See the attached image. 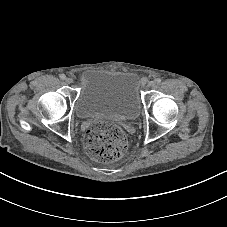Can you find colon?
<instances>
[{"instance_id":"1","label":"colon","mask_w":227,"mask_h":227,"mask_svg":"<svg viewBox=\"0 0 227 227\" xmlns=\"http://www.w3.org/2000/svg\"><path fill=\"white\" fill-rule=\"evenodd\" d=\"M88 154L99 162H113L120 159L128 146L123 130L114 123L93 124L85 134Z\"/></svg>"}]
</instances>
